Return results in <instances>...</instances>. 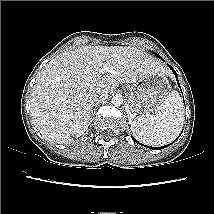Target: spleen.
<instances>
[{
  "label": "spleen",
  "instance_id": "spleen-1",
  "mask_svg": "<svg viewBox=\"0 0 214 214\" xmlns=\"http://www.w3.org/2000/svg\"><path fill=\"white\" fill-rule=\"evenodd\" d=\"M184 123V107L177 91H172L153 114L139 115L132 120L131 130L142 143L161 146L180 134Z\"/></svg>",
  "mask_w": 214,
  "mask_h": 214
}]
</instances>
